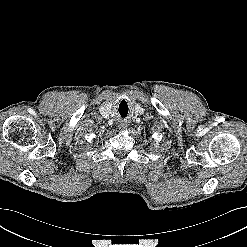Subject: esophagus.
I'll return each instance as SVG.
<instances>
[{"mask_svg": "<svg viewBox=\"0 0 247 247\" xmlns=\"http://www.w3.org/2000/svg\"><path fill=\"white\" fill-rule=\"evenodd\" d=\"M128 127V124L126 123V122H121L120 124H119V128L120 129H126Z\"/></svg>", "mask_w": 247, "mask_h": 247, "instance_id": "obj_1", "label": "esophagus"}]
</instances>
